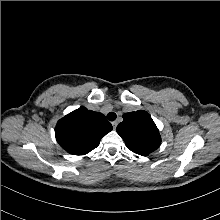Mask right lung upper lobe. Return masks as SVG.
Wrapping results in <instances>:
<instances>
[{
  "label": "right lung upper lobe",
  "mask_w": 220,
  "mask_h": 220,
  "mask_svg": "<svg viewBox=\"0 0 220 220\" xmlns=\"http://www.w3.org/2000/svg\"><path fill=\"white\" fill-rule=\"evenodd\" d=\"M111 130L112 125L103 114L80 107L58 121L55 136L70 154L85 155Z\"/></svg>",
  "instance_id": "obj_1"
}]
</instances>
